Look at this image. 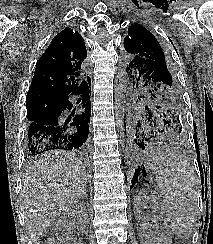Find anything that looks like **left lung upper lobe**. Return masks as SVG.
I'll return each mask as SVG.
<instances>
[{
	"mask_svg": "<svg viewBox=\"0 0 213 244\" xmlns=\"http://www.w3.org/2000/svg\"><path fill=\"white\" fill-rule=\"evenodd\" d=\"M121 63L128 106L154 119L164 134L186 131L185 107L174 65L155 36L133 24L124 39Z\"/></svg>",
	"mask_w": 213,
	"mask_h": 244,
	"instance_id": "1",
	"label": "left lung upper lobe"
}]
</instances>
